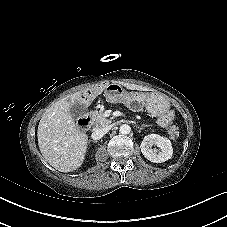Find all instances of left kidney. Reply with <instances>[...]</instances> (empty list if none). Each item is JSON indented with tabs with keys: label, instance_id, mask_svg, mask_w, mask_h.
Wrapping results in <instances>:
<instances>
[{
	"label": "left kidney",
	"instance_id": "1",
	"mask_svg": "<svg viewBox=\"0 0 227 227\" xmlns=\"http://www.w3.org/2000/svg\"><path fill=\"white\" fill-rule=\"evenodd\" d=\"M153 146H157L159 149H152ZM140 148L144 157L154 163L165 162L170 159L173 154L171 141L158 134L145 136L141 142Z\"/></svg>",
	"mask_w": 227,
	"mask_h": 227
}]
</instances>
